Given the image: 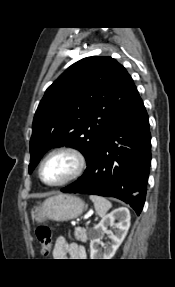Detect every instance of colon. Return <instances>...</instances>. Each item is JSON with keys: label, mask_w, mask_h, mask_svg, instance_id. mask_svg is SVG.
I'll return each instance as SVG.
<instances>
[{"label": "colon", "mask_w": 175, "mask_h": 287, "mask_svg": "<svg viewBox=\"0 0 175 287\" xmlns=\"http://www.w3.org/2000/svg\"><path fill=\"white\" fill-rule=\"evenodd\" d=\"M36 236L41 245L44 255H49L52 251L51 230L46 225H41L36 229Z\"/></svg>", "instance_id": "1"}]
</instances>
